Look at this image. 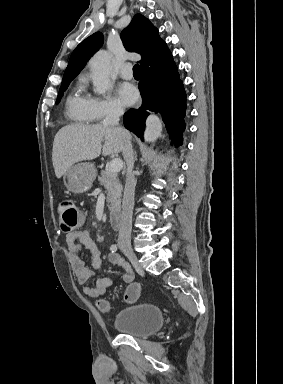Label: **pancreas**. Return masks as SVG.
<instances>
[{
  "mask_svg": "<svg viewBox=\"0 0 283 384\" xmlns=\"http://www.w3.org/2000/svg\"><path fill=\"white\" fill-rule=\"evenodd\" d=\"M98 182L104 186L107 192V206L111 216L121 210V198L123 186L119 182L117 174H108L101 170V176H98Z\"/></svg>",
  "mask_w": 283,
  "mask_h": 384,
  "instance_id": "obj_1",
  "label": "pancreas"
}]
</instances>
